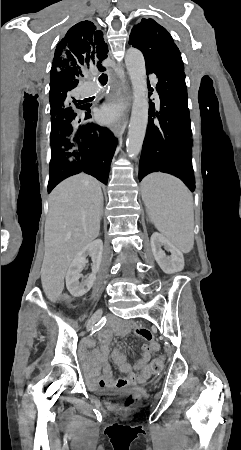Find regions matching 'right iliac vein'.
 I'll return each instance as SVG.
<instances>
[{"label": "right iliac vein", "mask_w": 241, "mask_h": 450, "mask_svg": "<svg viewBox=\"0 0 241 450\" xmlns=\"http://www.w3.org/2000/svg\"><path fill=\"white\" fill-rule=\"evenodd\" d=\"M102 313V310L99 309L95 312V314L92 316V318L89 320L88 324H87V328L90 329L94 323L100 318Z\"/></svg>", "instance_id": "1"}]
</instances>
